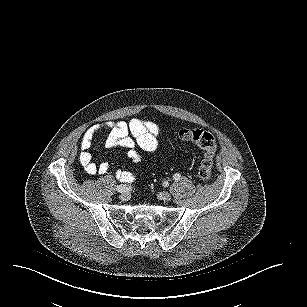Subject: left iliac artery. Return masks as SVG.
I'll return each mask as SVG.
<instances>
[{
	"mask_svg": "<svg viewBox=\"0 0 307 307\" xmlns=\"http://www.w3.org/2000/svg\"><path fill=\"white\" fill-rule=\"evenodd\" d=\"M180 178H181V175L179 173H176V174L173 175V180H175V181L180 180Z\"/></svg>",
	"mask_w": 307,
	"mask_h": 307,
	"instance_id": "1",
	"label": "left iliac artery"
}]
</instances>
